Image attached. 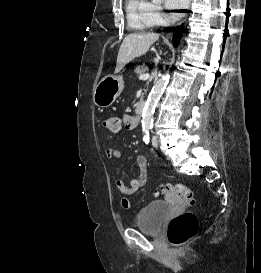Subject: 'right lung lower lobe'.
<instances>
[{
	"instance_id": "1",
	"label": "right lung lower lobe",
	"mask_w": 261,
	"mask_h": 273,
	"mask_svg": "<svg viewBox=\"0 0 261 273\" xmlns=\"http://www.w3.org/2000/svg\"><path fill=\"white\" fill-rule=\"evenodd\" d=\"M183 29V27L182 26H180V27H177L176 29H175V32H174V39H173V42H174V45L175 46H177L178 45V43H179V38L181 37V33L179 32V31H181Z\"/></svg>"
}]
</instances>
